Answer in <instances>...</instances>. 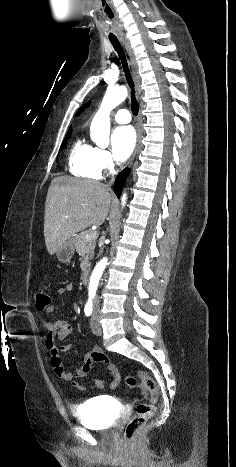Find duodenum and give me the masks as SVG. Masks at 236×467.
Returning a JSON list of instances; mask_svg holds the SVG:
<instances>
[{
	"label": "duodenum",
	"instance_id": "1",
	"mask_svg": "<svg viewBox=\"0 0 236 467\" xmlns=\"http://www.w3.org/2000/svg\"><path fill=\"white\" fill-rule=\"evenodd\" d=\"M88 280H89V269H84L82 274H81V282L83 284H86L88 283Z\"/></svg>",
	"mask_w": 236,
	"mask_h": 467
}]
</instances>
